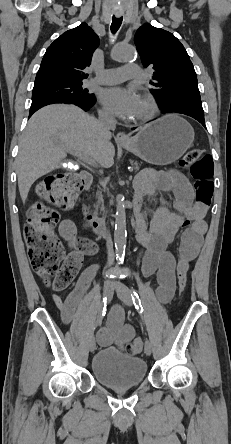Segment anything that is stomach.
Returning a JSON list of instances; mask_svg holds the SVG:
<instances>
[{"instance_id":"obj_1","label":"stomach","mask_w":231,"mask_h":444,"mask_svg":"<svg viewBox=\"0 0 231 444\" xmlns=\"http://www.w3.org/2000/svg\"><path fill=\"white\" fill-rule=\"evenodd\" d=\"M193 140L192 126L180 116L169 114L146 125L121 146L148 163L167 165L178 160Z\"/></svg>"}]
</instances>
